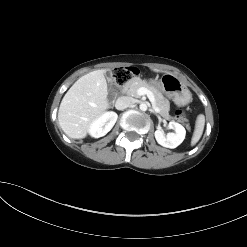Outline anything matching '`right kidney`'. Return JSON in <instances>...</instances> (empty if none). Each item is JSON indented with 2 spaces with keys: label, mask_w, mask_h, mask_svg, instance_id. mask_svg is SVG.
I'll list each match as a JSON object with an SVG mask.
<instances>
[{
  "label": "right kidney",
  "mask_w": 247,
  "mask_h": 247,
  "mask_svg": "<svg viewBox=\"0 0 247 247\" xmlns=\"http://www.w3.org/2000/svg\"><path fill=\"white\" fill-rule=\"evenodd\" d=\"M118 115L108 111L96 118L89 126V134L94 138L105 136L115 125Z\"/></svg>",
  "instance_id": "obj_1"
}]
</instances>
